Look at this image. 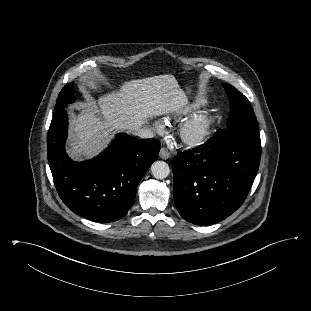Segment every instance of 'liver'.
<instances>
[{
	"mask_svg": "<svg viewBox=\"0 0 311 311\" xmlns=\"http://www.w3.org/2000/svg\"><path fill=\"white\" fill-rule=\"evenodd\" d=\"M187 104L186 94L173 75L126 81L72 116L70 156L91 157L104 147L111 131H136L148 118L178 113Z\"/></svg>",
	"mask_w": 311,
	"mask_h": 311,
	"instance_id": "obj_1",
	"label": "liver"
}]
</instances>
